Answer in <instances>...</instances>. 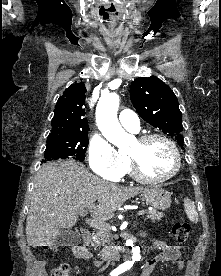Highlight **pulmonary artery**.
Masks as SVG:
<instances>
[{
	"instance_id": "pulmonary-artery-1",
	"label": "pulmonary artery",
	"mask_w": 221,
	"mask_h": 276,
	"mask_svg": "<svg viewBox=\"0 0 221 276\" xmlns=\"http://www.w3.org/2000/svg\"><path fill=\"white\" fill-rule=\"evenodd\" d=\"M119 121L125 129L131 132H138L140 129L139 118L131 110L125 109L121 111L119 114Z\"/></svg>"
}]
</instances>
